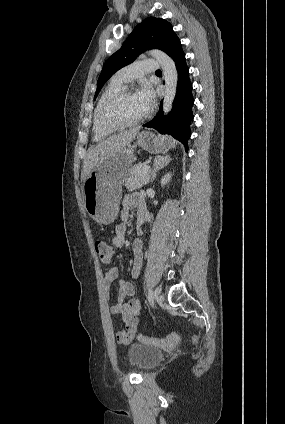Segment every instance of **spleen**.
Returning a JSON list of instances; mask_svg holds the SVG:
<instances>
[{
	"mask_svg": "<svg viewBox=\"0 0 285 424\" xmlns=\"http://www.w3.org/2000/svg\"><path fill=\"white\" fill-rule=\"evenodd\" d=\"M175 146V142H173V147Z\"/></svg>",
	"mask_w": 285,
	"mask_h": 424,
	"instance_id": "spleen-1",
	"label": "spleen"
}]
</instances>
